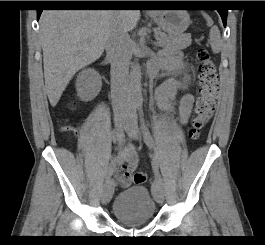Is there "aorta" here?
<instances>
[{"mask_svg": "<svg viewBox=\"0 0 265 245\" xmlns=\"http://www.w3.org/2000/svg\"><path fill=\"white\" fill-rule=\"evenodd\" d=\"M141 76L142 73L140 65L138 63L133 64L128 84L131 101L133 102H139L142 99Z\"/></svg>", "mask_w": 265, "mask_h": 245, "instance_id": "obj_1", "label": "aorta"}]
</instances>
